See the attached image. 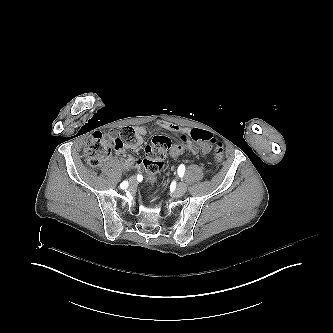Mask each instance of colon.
Here are the masks:
<instances>
[{
  "label": "colon",
  "instance_id": "5ec220e1",
  "mask_svg": "<svg viewBox=\"0 0 333 333\" xmlns=\"http://www.w3.org/2000/svg\"><path fill=\"white\" fill-rule=\"evenodd\" d=\"M186 133L180 136L176 144L173 139L167 135L154 136L145 148L146 157L142 160V166L147 173V182L150 185L156 184L160 172L164 168V160L167 152L172 153L183 151L185 146L194 139L197 148H203L204 152L217 161L223 157V148L219 140L214 139V132H200L193 130L192 127L186 128ZM189 134V135H188ZM133 137V131L130 128L123 129L121 132L112 130L109 133L101 131L93 133L88 139L84 152L88 163L92 167H98L108 157L111 148H117L122 144V140L127 142Z\"/></svg>",
  "mask_w": 333,
  "mask_h": 333
}]
</instances>
